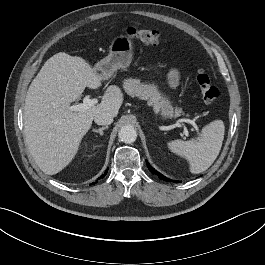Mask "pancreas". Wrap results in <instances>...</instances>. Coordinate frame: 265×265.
<instances>
[{
  "mask_svg": "<svg viewBox=\"0 0 265 265\" xmlns=\"http://www.w3.org/2000/svg\"><path fill=\"white\" fill-rule=\"evenodd\" d=\"M123 88L126 91L127 94H129L132 97H139L143 100L150 99L153 102H162L160 101L162 99V96L158 92L156 86L151 84H144L141 83L139 79H127L125 80L123 84ZM169 116H173V110L169 111ZM182 111L176 110V114H180Z\"/></svg>",
  "mask_w": 265,
  "mask_h": 265,
  "instance_id": "pancreas-1",
  "label": "pancreas"
}]
</instances>
